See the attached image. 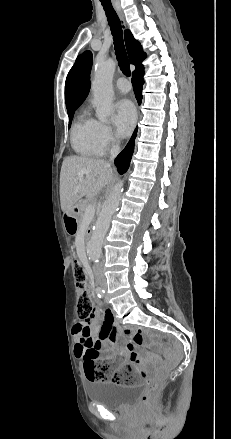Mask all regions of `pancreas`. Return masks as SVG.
<instances>
[{
  "instance_id": "pancreas-1",
  "label": "pancreas",
  "mask_w": 231,
  "mask_h": 439,
  "mask_svg": "<svg viewBox=\"0 0 231 439\" xmlns=\"http://www.w3.org/2000/svg\"><path fill=\"white\" fill-rule=\"evenodd\" d=\"M88 200H83L80 202L79 204V208H80V217H79V223L82 224L84 222L85 219V213H86V209L88 207Z\"/></svg>"
}]
</instances>
